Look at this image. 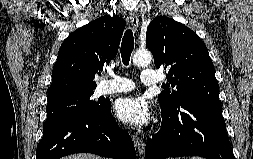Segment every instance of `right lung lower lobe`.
Here are the masks:
<instances>
[{"label": "right lung lower lobe", "instance_id": "right-lung-lower-lobe-1", "mask_svg": "<svg viewBox=\"0 0 253 159\" xmlns=\"http://www.w3.org/2000/svg\"><path fill=\"white\" fill-rule=\"evenodd\" d=\"M73 153L136 159L131 137L116 124L110 101L99 112L74 115L43 131L36 159H60Z\"/></svg>", "mask_w": 253, "mask_h": 159}]
</instances>
